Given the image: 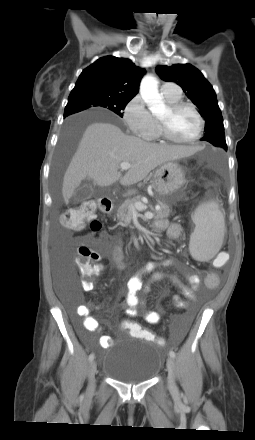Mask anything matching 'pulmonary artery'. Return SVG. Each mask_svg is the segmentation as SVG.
I'll list each match as a JSON object with an SVG mask.
<instances>
[{"label": "pulmonary artery", "instance_id": "1", "mask_svg": "<svg viewBox=\"0 0 255 440\" xmlns=\"http://www.w3.org/2000/svg\"><path fill=\"white\" fill-rule=\"evenodd\" d=\"M161 91L164 94H181V91L179 88H177L173 83L165 82L161 86Z\"/></svg>", "mask_w": 255, "mask_h": 440}]
</instances>
